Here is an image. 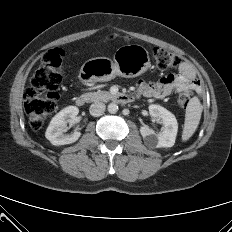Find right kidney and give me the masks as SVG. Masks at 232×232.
Instances as JSON below:
<instances>
[{
    "mask_svg": "<svg viewBox=\"0 0 232 232\" xmlns=\"http://www.w3.org/2000/svg\"><path fill=\"white\" fill-rule=\"evenodd\" d=\"M79 113V109L76 106H68L62 109L51 120L45 136L55 146L66 145L76 142L81 133L74 131L72 134H64V128L69 119L75 118Z\"/></svg>",
    "mask_w": 232,
    "mask_h": 232,
    "instance_id": "ca27d5eb",
    "label": "right kidney"
}]
</instances>
